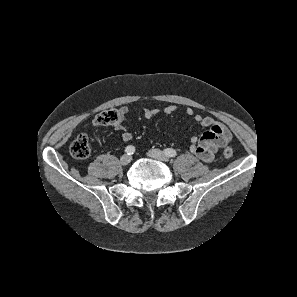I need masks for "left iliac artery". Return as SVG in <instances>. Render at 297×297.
Wrapping results in <instances>:
<instances>
[{"label": "left iliac artery", "mask_w": 297, "mask_h": 297, "mask_svg": "<svg viewBox=\"0 0 297 297\" xmlns=\"http://www.w3.org/2000/svg\"><path fill=\"white\" fill-rule=\"evenodd\" d=\"M164 153L168 156V157H175L177 155L176 150L172 149V148H167L164 150Z\"/></svg>", "instance_id": "1"}]
</instances>
